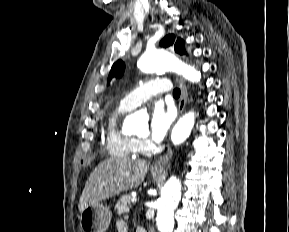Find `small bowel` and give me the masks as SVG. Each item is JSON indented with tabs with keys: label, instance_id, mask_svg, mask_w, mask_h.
I'll return each instance as SVG.
<instances>
[{
	"label": "small bowel",
	"instance_id": "c3829d8e",
	"mask_svg": "<svg viewBox=\"0 0 289 232\" xmlns=\"http://www.w3.org/2000/svg\"><path fill=\"white\" fill-rule=\"evenodd\" d=\"M117 232H128V226L124 221H117L116 223Z\"/></svg>",
	"mask_w": 289,
	"mask_h": 232
}]
</instances>
